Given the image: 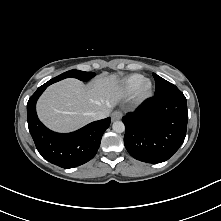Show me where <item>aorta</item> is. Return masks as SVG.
Returning a JSON list of instances; mask_svg holds the SVG:
<instances>
[{
	"instance_id": "1",
	"label": "aorta",
	"mask_w": 221,
	"mask_h": 221,
	"mask_svg": "<svg viewBox=\"0 0 221 221\" xmlns=\"http://www.w3.org/2000/svg\"><path fill=\"white\" fill-rule=\"evenodd\" d=\"M112 128L116 133H123L125 131V125L122 121H115L112 125Z\"/></svg>"
}]
</instances>
